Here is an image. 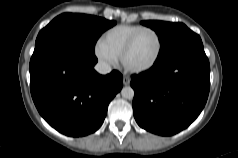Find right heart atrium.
I'll list each match as a JSON object with an SVG mask.
<instances>
[{
  "mask_svg": "<svg viewBox=\"0 0 238 158\" xmlns=\"http://www.w3.org/2000/svg\"><path fill=\"white\" fill-rule=\"evenodd\" d=\"M95 54L98 59L105 65L111 66L116 64L117 57L109 51L101 42L95 46Z\"/></svg>",
  "mask_w": 238,
  "mask_h": 158,
  "instance_id": "1",
  "label": "right heart atrium"
}]
</instances>
